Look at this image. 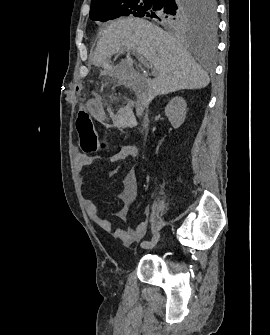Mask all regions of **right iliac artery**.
I'll use <instances>...</instances> for the list:
<instances>
[{"mask_svg": "<svg viewBox=\"0 0 270 335\" xmlns=\"http://www.w3.org/2000/svg\"><path fill=\"white\" fill-rule=\"evenodd\" d=\"M150 246V242L149 241H143L142 243H141V247L142 248H148Z\"/></svg>", "mask_w": 270, "mask_h": 335, "instance_id": "1", "label": "right iliac artery"}]
</instances>
